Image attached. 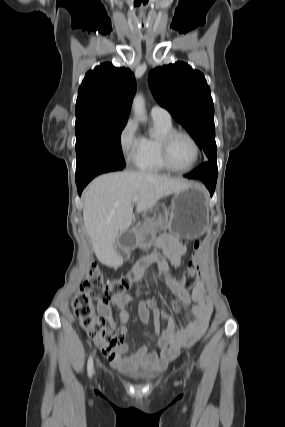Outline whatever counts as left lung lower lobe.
Here are the masks:
<instances>
[{
	"label": "left lung lower lobe",
	"mask_w": 285,
	"mask_h": 427,
	"mask_svg": "<svg viewBox=\"0 0 285 427\" xmlns=\"http://www.w3.org/2000/svg\"><path fill=\"white\" fill-rule=\"evenodd\" d=\"M217 162L216 159L208 160V162L200 165L192 173L186 175L189 179H201L212 195L215 190L216 181H217Z\"/></svg>",
	"instance_id": "0a47b994"
}]
</instances>
